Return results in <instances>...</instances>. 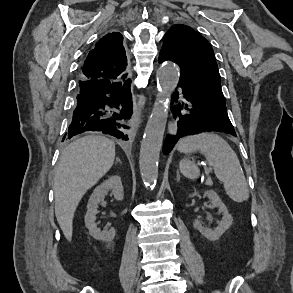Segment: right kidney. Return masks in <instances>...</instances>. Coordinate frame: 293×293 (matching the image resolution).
Wrapping results in <instances>:
<instances>
[{"instance_id": "ca27d5eb", "label": "right kidney", "mask_w": 293, "mask_h": 293, "mask_svg": "<svg viewBox=\"0 0 293 293\" xmlns=\"http://www.w3.org/2000/svg\"><path fill=\"white\" fill-rule=\"evenodd\" d=\"M111 191V194L118 201H121L124 197L123 186L119 176H111L105 180L102 184L97 186L87 205V212L85 215V226L89 230V234L97 239L105 242H111L115 236V230L111 228L109 231H101L97 228L95 223L98 204L104 200L108 192Z\"/></svg>"}]
</instances>
